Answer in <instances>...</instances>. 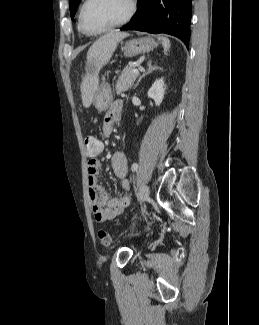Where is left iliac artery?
Masks as SVG:
<instances>
[{"instance_id":"obj_1","label":"left iliac artery","mask_w":259,"mask_h":325,"mask_svg":"<svg viewBox=\"0 0 259 325\" xmlns=\"http://www.w3.org/2000/svg\"><path fill=\"white\" fill-rule=\"evenodd\" d=\"M138 169V164L137 163H133L132 166H131V170L132 171H137Z\"/></svg>"}]
</instances>
